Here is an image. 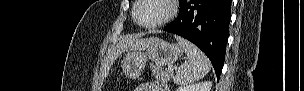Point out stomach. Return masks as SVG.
Listing matches in <instances>:
<instances>
[{
	"mask_svg": "<svg viewBox=\"0 0 304 91\" xmlns=\"http://www.w3.org/2000/svg\"><path fill=\"white\" fill-rule=\"evenodd\" d=\"M183 54L178 44H171L162 39L151 38L145 48L127 51L123 56L121 66L128 78H137L141 75L148 60L156 67L171 65Z\"/></svg>",
	"mask_w": 304,
	"mask_h": 91,
	"instance_id": "0dacf381",
	"label": "stomach"
}]
</instances>
